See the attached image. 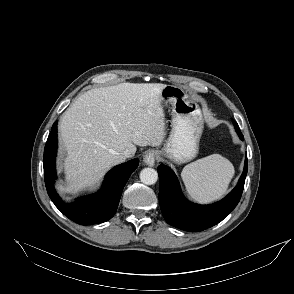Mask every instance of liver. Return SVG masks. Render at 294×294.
Returning a JSON list of instances; mask_svg holds the SVG:
<instances>
[{
	"label": "liver",
	"mask_w": 294,
	"mask_h": 294,
	"mask_svg": "<svg viewBox=\"0 0 294 294\" xmlns=\"http://www.w3.org/2000/svg\"><path fill=\"white\" fill-rule=\"evenodd\" d=\"M165 84L121 83L91 89L65 111L59 124L67 151L64 168L69 184L58 189L74 193L94 186L115 165L121 153L138 146H159L165 135L160 93Z\"/></svg>",
	"instance_id": "6515ba94"
}]
</instances>
